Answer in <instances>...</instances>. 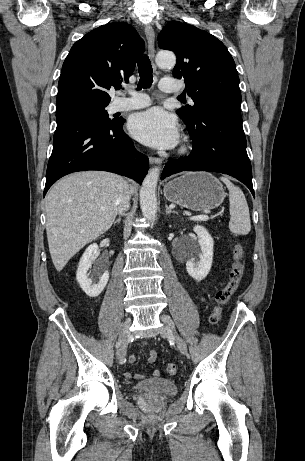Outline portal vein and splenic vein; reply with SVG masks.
Masks as SVG:
<instances>
[{"label":"portal vein and splenic vein","instance_id":"portal-vein-and-splenic-vein-1","mask_svg":"<svg viewBox=\"0 0 305 461\" xmlns=\"http://www.w3.org/2000/svg\"><path fill=\"white\" fill-rule=\"evenodd\" d=\"M208 219H209V216L207 214L190 217V220H193V221H206Z\"/></svg>","mask_w":305,"mask_h":461}]
</instances>
